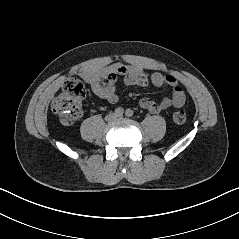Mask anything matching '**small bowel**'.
<instances>
[{
	"mask_svg": "<svg viewBox=\"0 0 239 239\" xmlns=\"http://www.w3.org/2000/svg\"><path fill=\"white\" fill-rule=\"evenodd\" d=\"M80 75L91 85L92 92L97 97L109 103H116L118 101L117 83L121 78L128 86L144 87L151 83L156 87H170L171 95L159 103L150 98L139 100V106L152 114H159L170 107L183 106L186 99L182 87L173 76L160 72L148 73L142 67L136 65L114 63L99 69H85ZM103 79H106L107 82L99 83Z\"/></svg>",
	"mask_w": 239,
	"mask_h": 239,
	"instance_id": "1",
	"label": "small bowel"
}]
</instances>
